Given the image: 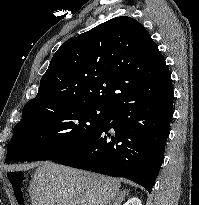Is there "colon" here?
I'll return each instance as SVG.
<instances>
[{
  "mask_svg": "<svg viewBox=\"0 0 199 205\" xmlns=\"http://www.w3.org/2000/svg\"><path fill=\"white\" fill-rule=\"evenodd\" d=\"M8 179L11 183L14 194L17 198L22 197V186L26 181V176L23 172H10L8 173Z\"/></svg>",
  "mask_w": 199,
  "mask_h": 205,
  "instance_id": "1",
  "label": "colon"
}]
</instances>
